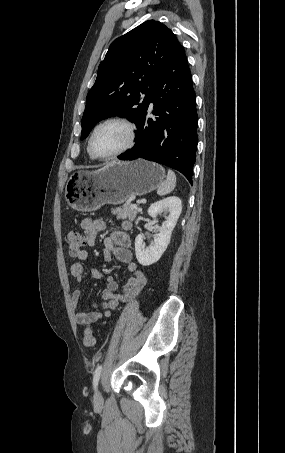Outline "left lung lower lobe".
Listing matches in <instances>:
<instances>
[{"label": "left lung lower lobe", "instance_id": "obj_1", "mask_svg": "<svg viewBox=\"0 0 285 453\" xmlns=\"http://www.w3.org/2000/svg\"><path fill=\"white\" fill-rule=\"evenodd\" d=\"M149 106L138 121L135 146L121 160L144 158L181 172L192 184L198 143L196 95L183 46L179 45L162 70ZM149 103V104H150Z\"/></svg>", "mask_w": 285, "mask_h": 453}]
</instances>
